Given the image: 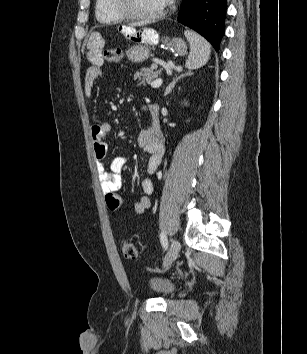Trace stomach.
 Returning a JSON list of instances; mask_svg holds the SVG:
<instances>
[{"instance_id":"1","label":"stomach","mask_w":307,"mask_h":354,"mask_svg":"<svg viewBox=\"0 0 307 354\" xmlns=\"http://www.w3.org/2000/svg\"><path fill=\"white\" fill-rule=\"evenodd\" d=\"M137 38H128L134 43V46L127 51L129 60L135 63H141L147 60L151 55V49L147 45H156L159 43L158 33L150 28H144L138 31ZM162 44L165 48L176 55H184L187 51V46L181 38H168L162 39Z\"/></svg>"}]
</instances>
